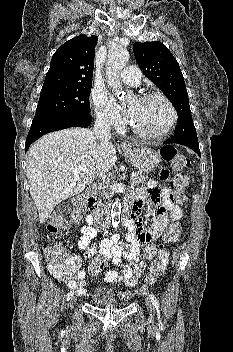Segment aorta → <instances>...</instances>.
<instances>
[{
  "mask_svg": "<svg viewBox=\"0 0 233 352\" xmlns=\"http://www.w3.org/2000/svg\"><path fill=\"white\" fill-rule=\"evenodd\" d=\"M129 61V53L123 47H117L108 54L106 62V79L108 86L115 91V95L122 102H126L131 98V93L122 89L119 74ZM121 202L115 200L111 207V221L113 228H117L120 223Z\"/></svg>",
  "mask_w": 233,
  "mask_h": 352,
  "instance_id": "aorta-1",
  "label": "aorta"
}]
</instances>
